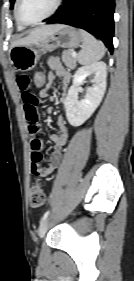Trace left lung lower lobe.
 I'll return each instance as SVG.
<instances>
[{
  "label": "left lung lower lobe",
  "mask_w": 134,
  "mask_h": 281,
  "mask_svg": "<svg viewBox=\"0 0 134 281\" xmlns=\"http://www.w3.org/2000/svg\"><path fill=\"white\" fill-rule=\"evenodd\" d=\"M115 0H65L48 24H69L97 35L113 53Z\"/></svg>",
  "instance_id": "1"
}]
</instances>
